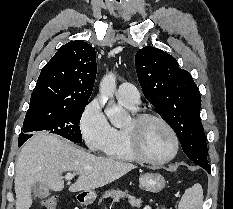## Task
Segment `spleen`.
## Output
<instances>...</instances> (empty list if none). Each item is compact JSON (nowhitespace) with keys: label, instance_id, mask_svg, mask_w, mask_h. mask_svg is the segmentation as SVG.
Here are the masks:
<instances>
[{"label":"spleen","instance_id":"1","mask_svg":"<svg viewBox=\"0 0 233 209\" xmlns=\"http://www.w3.org/2000/svg\"><path fill=\"white\" fill-rule=\"evenodd\" d=\"M203 204V189L200 184H194L183 194L179 209H201Z\"/></svg>","mask_w":233,"mask_h":209}]
</instances>
